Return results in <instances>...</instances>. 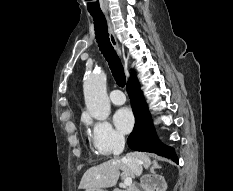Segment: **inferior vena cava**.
I'll list each match as a JSON object with an SVG mask.
<instances>
[{"label": "inferior vena cava", "instance_id": "602c4592", "mask_svg": "<svg viewBox=\"0 0 233 191\" xmlns=\"http://www.w3.org/2000/svg\"><path fill=\"white\" fill-rule=\"evenodd\" d=\"M124 147H125V139L124 137H120L114 145V149H113L114 155L118 156L119 154H121L124 150ZM123 162L129 166V168L131 169L134 175L140 176L142 174V170H143L142 163L136 157L129 156L127 159H124Z\"/></svg>", "mask_w": 233, "mask_h": 191}]
</instances>
